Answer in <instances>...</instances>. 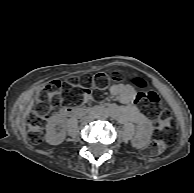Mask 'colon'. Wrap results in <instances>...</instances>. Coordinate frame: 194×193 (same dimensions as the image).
<instances>
[{
    "label": "colon",
    "mask_w": 194,
    "mask_h": 193,
    "mask_svg": "<svg viewBox=\"0 0 194 193\" xmlns=\"http://www.w3.org/2000/svg\"><path fill=\"white\" fill-rule=\"evenodd\" d=\"M119 76V72L114 73V77ZM107 83V75L102 72L79 79L73 78L66 85H62L57 80L49 82L31 113L27 130L29 140L33 143L41 142L42 129L46 119L62 103H70L82 98L100 100ZM62 89L66 92V99L62 98ZM136 102L144 109L149 118L158 119L156 137L143 149L145 156H157L163 152L167 143L175 139V126L156 92H141L137 95Z\"/></svg>",
    "instance_id": "colon-1"
}]
</instances>
